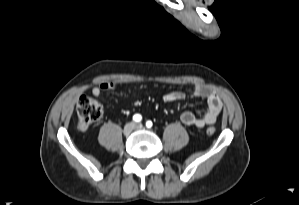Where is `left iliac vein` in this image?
I'll return each instance as SVG.
<instances>
[{
    "label": "left iliac vein",
    "mask_w": 299,
    "mask_h": 205,
    "mask_svg": "<svg viewBox=\"0 0 299 205\" xmlns=\"http://www.w3.org/2000/svg\"><path fill=\"white\" fill-rule=\"evenodd\" d=\"M135 128H136V129H142V128H143V125H142L141 123H137V124L135 125Z\"/></svg>",
    "instance_id": "1"
}]
</instances>
